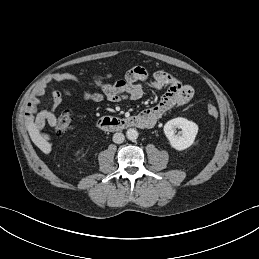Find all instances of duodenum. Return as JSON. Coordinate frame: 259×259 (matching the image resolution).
<instances>
[{"instance_id":"410a0bca","label":"duodenum","mask_w":259,"mask_h":259,"mask_svg":"<svg viewBox=\"0 0 259 259\" xmlns=\"http://www.w3.org/2000/svg\"><path fill=\"white\" fill-rule=\"evenodd\" d=\"M151 120L143 114L128 118L102 117L98 120V127L104 131H120L130 127L149 128Z\"/></svg>"}]
</instances>
